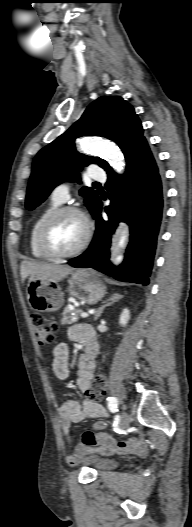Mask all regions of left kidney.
Returning a JSON list of instances; mask_svg holds the SVG:
<instances>
[{
  "instance_id": "5707ae66",
  "label": "left kidney",
  "mask_w": 192,
  "mask_h": 527,
  "mask_svg": "<svg viewBox=\"0 0 192 527\" xmlns=\"http://www.w3.org/2000/svg\"><path fill=\"white\" fill-rule=\"evenodd\" d=\"M130 318V312L128 309H124L120 315L119 324L125 326Z\"/></svg>"
}]
</instances>
